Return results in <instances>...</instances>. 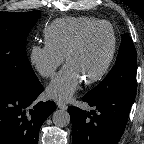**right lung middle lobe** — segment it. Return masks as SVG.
I'll return each mask as SVG.
<instances>
[{
  "label": "right lung middle lobe",
  "mask_w": 144,
  "mask_h": 144,
  "mask_svg": "<svg viewBox=\"0 0 144 144\" xmlns=\"http://www.w3.org/2000/svg\"><path fill=\"white\" fill-rule=\"evenodd\" d=\"M40 16L38 10L0 13V85L29 88L39 81L27 58L25 42Z\"/></svg>",
  "instance_id": "right-lung-middle-lobe-1"
}]
</instances>
